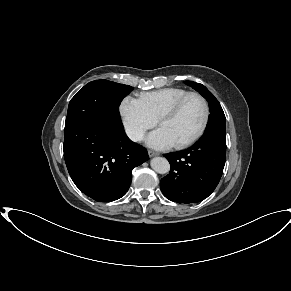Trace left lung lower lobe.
Returning a JSON list of instances; mask_svg holds the SVG:
<instances>
[{"instance_id": "left-lung-lower-lobe-1", "label": "left lung lower lobe", "mask_w": 291, "mask_h": 291, "mask_svg": "<svg viewBox=\"0 0 291 291\" xmlns=\"http://www.w3.org/2000/svg\"><path fill=\"white\" fill-rule=\"evenodd\" d=\"M170 172L161 179L165 197L177 203L206 199L218 185L226 157V132H208L190 148L164 155Z\"/></svg>"}]
</instances>
